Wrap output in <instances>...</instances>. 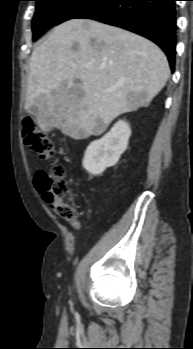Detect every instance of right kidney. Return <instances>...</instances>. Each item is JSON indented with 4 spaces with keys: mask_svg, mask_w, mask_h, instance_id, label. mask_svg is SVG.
<instances>
[{
    "mask_svg": "<svg viewBox=\"0 0 193 349\" xmlns=\"http://www.w3.org/2000/svg\"><path fill=\"white\" fill-rule=\"evenodd\" d=\"M131 129L126 121L119 120L101 139L87 147L83 167L91 175H100L106 168L114 166L127 149Z\"/></svg>",
    "mask_w": 193,
    "mask_h": 349,
    "instance_id": "right-kidney-1",
    "label": "right kidney"
}]
</instances>
